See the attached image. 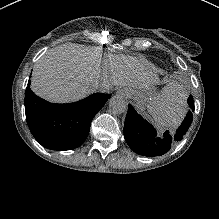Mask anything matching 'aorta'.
Returning <instances> with one entry per match:
<instances>
[{
	"label": "aorta",
	"instance_id": "aorta-1",
	"mask_svg": "<svg viewBox=\"0 0 219 219\" xmlns=\"http://www.w3.org/2000/svg\"><path fill=\"white\" fill-rule=\"evenodd\" d=\"M109 111L113 115H121L127 111V104L123 98L114 96L109 101Z\"/></svg>",
	"mask_w": 219,
	"mask_h": 219
}]
</instances>
